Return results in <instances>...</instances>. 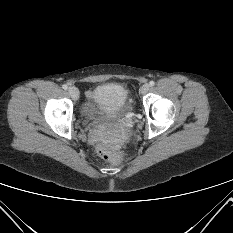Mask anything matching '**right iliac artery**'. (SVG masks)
<instances>
[{
	"mask_svg": "<svg viewBox=\"0 0 233 233\" xmlns=\"http://www.w3.org/2000/svg\"><path fill=\"white\" fill-rule=\"evenodd\" d=\"M62 88H63L64 90H67V89H68V86H67L66 84H64V85L62 86Z\"/></svg>",
	"mask_w": 233,
	"mask_h": 233,
	"instance_id": "82829eb1",
	"label": "right iliac artery"
}]
</instances>
